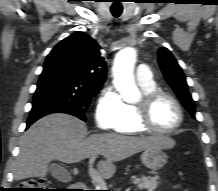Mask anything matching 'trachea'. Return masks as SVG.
I'll return each mask as SVG.
<instances>
[{
	"instance_id": "1",
	"label": "trachea",
	"mask_w": 218,
	"mask_h": 191,
	"mask_svg": "<svg viewBox=\"0 0 218 191\" xmlns=\"http://www.w3.org/2000/svg\"><path fill=\"white\" fill-rule=\"evenodd\" d=\"M111 13L114 17H119L122 13V8H111Z\"/></svg>"
}]
</instances>
